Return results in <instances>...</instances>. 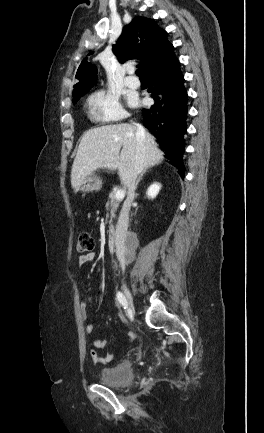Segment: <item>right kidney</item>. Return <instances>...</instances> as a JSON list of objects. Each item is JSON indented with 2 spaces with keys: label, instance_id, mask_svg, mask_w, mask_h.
Returning <instances> with one entry per match:
<instances>
[{
  "label": "right kidney",
  "instance_id": "ca27d5eb",
  "mask_svg": "<svg viewBox=\"0 0 264 433\" xmlns=\"http://www.w3.org/2000/svg\"><path fill=\"white\" fill-rule=\"evenodd\" d=\"M161 189V184L160 183H153L152 185H150V187L147 190V196L154 199L156 197V195L159 193V190Z\"/></svg>",
  "mask_w": 264,
  "mask_h": 433
}]
</instances>
